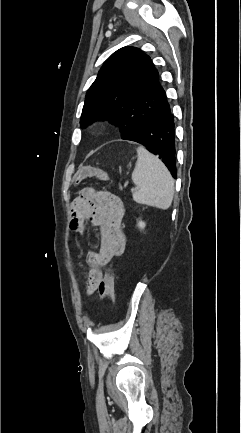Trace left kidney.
<instances>
[{
	"label": "left kidney",
	"instance_id": "1",
	"mask_svg": "<svg viewBox=\"0 0 241 433\" xmlns=\"http://www.w3.org/2000/svg\"><path fill=\"white\" fill-rule=\"evenodd\" d=\"M138 227L139 229L143 230L146 226L145 222H143L142 220L138 221Z\"/></svg>",
	"mask_w": 241,
	"mask_h": 433
}]
</instances>
